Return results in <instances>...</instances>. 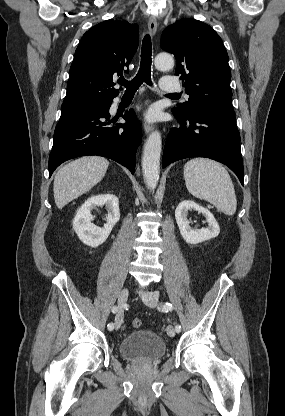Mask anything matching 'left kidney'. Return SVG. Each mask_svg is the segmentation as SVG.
<instances>
[{
    "label": "left kidney",
    "instance_id": "1",
    "mask_svg": "<svg viewBox=\"0 0 285 416\" xmlns=\"http://www.w3.org/2000/svg\"><path fill=\"white\" fill-rule=\"evenodd\" d=\"M188 210H196V212H201L206 218L208 228H201V230H192L190 228L189 220H187ZM176 222L179 226L180 234L187 242V244H200V242H205V240H211V238H217L220 228L211 212L207 208H202L198 206L195 202L191 200H184L180 202L175 210Z\"/></svg>",
    "mask_w": 285,
    "mask_h": 416
}]
</instances>
